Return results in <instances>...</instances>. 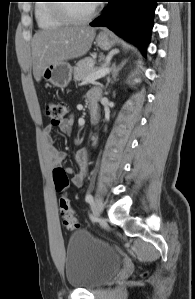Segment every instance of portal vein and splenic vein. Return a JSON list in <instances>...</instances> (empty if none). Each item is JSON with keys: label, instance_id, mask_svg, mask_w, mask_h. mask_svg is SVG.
<instances>
[{"label": "portal vein and splenic vein", "instance_id": "obj_1", "mask_svg": "<svg viewBox=\"0 0 195 299\" xmlns=\"http://www.w3.org/2000/svg\"><path fill=\"white\" fill-rule=\"evenodd\" d=\"M110 72V68L108 67H102L98 69L97 71L93 72L90 76H88L84 83H93L95 80L100 79L107 75Z\"/></svg>", "mask_w": 195, "mask_h": 299}]
</instances>
